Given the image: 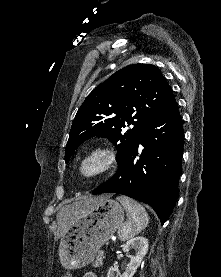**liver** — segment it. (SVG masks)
<instances>
[{
	"label": "liver",
	"instance_id": "obj_1",
	"mask_svg": "<svg viewBox=\"0 0 221 277\" xmlns=\"http://www.w3.org/2000/svg\"><path fill=\"white\" fill-rule=\"evenodd\" d=\"M100 197H91L83 201L74 202L64 206L57 214L58 229L55 232V240H58L66 231L69 221L76 216L83 208L91 207Z\"/></svg>",
	"mask_w": 221,
	"mask_h": 277
}]
</instances>
